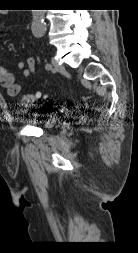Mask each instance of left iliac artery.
Instances as JSON below:
<instances>
[{
    "instance_id": "left-iliac-artery-1",
    "label": "left iliac artery",
    "mask_w": 138,
    "mask_h": 253,
    "mask_svg": "<svg viewBox=\"0 0 138 253\" xmlns=\"http://www.w3.org/2000/svg\"><path fill=\"white\" fill-rule=\"evenodd\" d=\"M45 68H46L47 70H50V69H52V66H51V64L47 63V64L45 65Z\"/></svg>"
}]
</instances>
